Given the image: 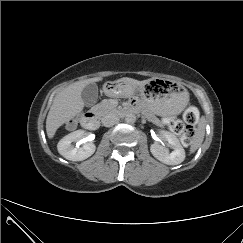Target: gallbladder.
Returning <instances> with one entry per match:
<instances>
[{"mask_svg": "<svg viewBox=\"0 0 243 243\" xmlns=\"http://www.w3.org/2000/svg\"><path fill=\"white\" fill-rule=\"evenodd\" d=\"M81 98L86 106H92L98 98V87L95 83H89L82 90Z\"/></svg>", "mask_w": 243, "mask_h": 243, "instance_id": "bac80fb5", "label": "gallbladder"}]
</instances>
